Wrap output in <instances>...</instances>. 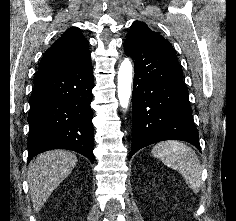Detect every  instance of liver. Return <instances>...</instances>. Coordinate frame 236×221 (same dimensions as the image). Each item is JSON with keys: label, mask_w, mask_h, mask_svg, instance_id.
Listing matches in <instances>:
<instances>
[{"label": "liver", "mask_w": 236, "mask_h": 221, "mask_svg": "<svg viewBox=\"0 0 236 221\" xmlns=\"http://www.w3.org/2000/svg\"><path fill=\"white\" fill-rule=\"evenodd\" d=\"M78 159L66 150H50L38 155L28 170L29 192L37 213L54 189L71 173Z\"/></svg>", "instance_id": "6515ba94"}]
</instances>
